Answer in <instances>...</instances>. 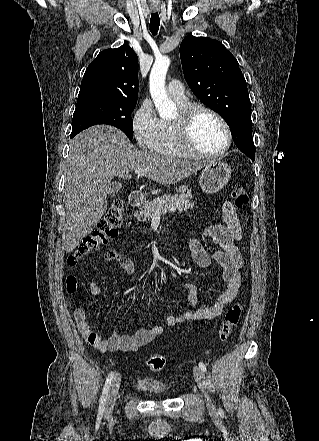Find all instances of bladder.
<instances>
[{
  "label": "bladder",
  "mask_w": 319,
  "mask_h": 441,
  "mask_svg": "<svg viewBox=\"0 0 319 441\" xmlns=\"http://www.w3.org/2000/svg\"><path fill=\"white\" fill-rule=\"evenodd\" d=\"M138 388L148 394L164 396L169 393V387L152 379H141L137 383Z\"/></svg>",
  "instance_id": "obj_1"
}]
</instances>
